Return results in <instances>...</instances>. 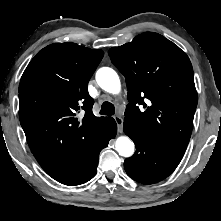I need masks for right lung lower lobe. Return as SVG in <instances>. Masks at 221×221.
<instances>
[{
  "instance_id": "obj_1",
  "label": "right lung lower lobe",
  "mask_w": 221,
  "mask_h": 221,
  "mask_svg": "<svg viewBox=\"0 0 221 221\" xmlns=\"http://www.w3.org/2000/svg\"><path fill=\"white\" fill-rule=\"evenodd\" d=\"M116 132L115 121L108 118L100 133L76 157L49 175L56 181L70 186L89 181L97 172L100 151L107 147Z\"/></svg>"
}]
</instances>
